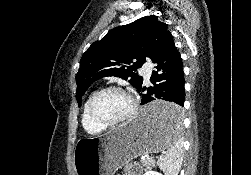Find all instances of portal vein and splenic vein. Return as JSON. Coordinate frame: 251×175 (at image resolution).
<instances>
[{"mask_svg":"<svg viewBox=\"0 0 251 175\" xmlns=\"http://www.w3.org/2000/svg\"><path fill=\"white\" fill-rule=\"evenodd\" d=\"M141 157H142V158H147V157H148V154H147V153H142V154H141Z\"/></svg>","mask_w":251,"mask_h":175,"instance_id":"obj_1","label":"portal vein and splenic vein"}]
</instances>
